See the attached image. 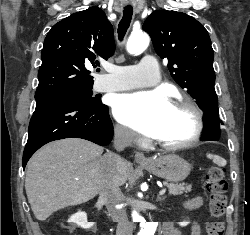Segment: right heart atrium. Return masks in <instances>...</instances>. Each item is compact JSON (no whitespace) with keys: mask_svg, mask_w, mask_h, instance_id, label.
<instances>
[{"mask_svg":"<svg viewBox=\"0 0 250 235\" xmlns=\"http://www.w3.org/2000/svg\"><path fill=\"white\" fill-rule=\"evenodd\" d=\"M114 133L117 140L124 144H132L139 141L138 136L133 131L121 124L114 126Z\"/></svg>","mask_w":250,"mask_h":235,"instance_id":"d8ad5b80","label":"right heart atrium"}]
</instances>
